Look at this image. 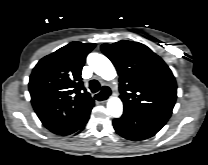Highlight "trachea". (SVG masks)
Returning a JSON list of instances; mask_svg holds the SVG:
<instances>
[{
    "instance_id": "obj_1",
    "label": "trachea",
    "mask_w": 208,
    "mask_h": 165,
    "mask_svg": "<svg viewBox=\"0 0 208 165\" xmlns=\"http://www.w3.org/2000/svg\"><path fill=\"white\" fill-rule=\"evenodd\" d=\"M89 88L92 93H96L100 89V84L97 80H91L89 83ZM110 92L107 87H103L102 91L95 95L96 100L102 101L106 100L109 96Z\"/></svg>"
}]
</instances>
